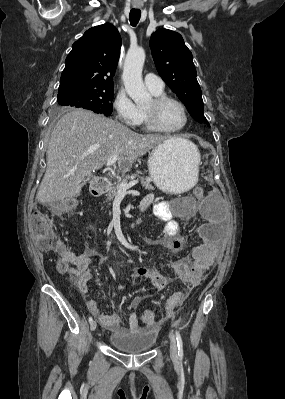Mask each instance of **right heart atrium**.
<instances>
[{
  "label": "right heart atrium",
  "mask_w": 285,
  "mask_h": 399,
  "mask_svg": "<svg viewBox=\"0 0 285 399\" xmlns=\"http://www.w3.org/2000/svg\"><path fill=\"white\" fill-rule=\"evenodd\" d=\"M116 117L125 125L135 127L140 124V109L125 92H119L114 99Z\"/></svg>",
  "instance_id": "d8ad5b80"
}]
</instances>
